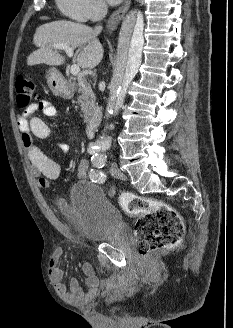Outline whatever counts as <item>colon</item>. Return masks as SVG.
I'll use <instances>...</instances> for the list:
<instances>
[{"label": "colon", "mask_w": 233, "mask_h": 328, "mask_svg": "<svg viewBox=\"0 0 233 328\" xmlns=\"http://www.w3.org/2000/svg\"><path fill=\"white\" fill-rule=\"evenodd\" d=\"M15 91L18 106L27 107L35 96L33 80L18 75ZM120 205L127 214L137 218L134 239L140 256L147 257L156 250L172 247L182 239L183 219L169 205L129 193L121 195Z\"/></svg>", "instance_id": "5ec220e1"}]
</instances>
